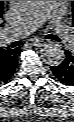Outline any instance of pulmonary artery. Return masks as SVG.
Wrapping results in <instances>:
<instances>
[{
	"mask_svg": "<svg viewBox=\"0 0 74 122\" xmlns=\"http://www.w3.org/2000/svg\"><path fill=\"white\" fill-rule=\"evenodd\" d=\"M58 1H38L30 12L23 15L16 23L10 26L6 32L7 40L22 38L36 30L46 20H54V32L64 45H71L73 38L70 32L59 23L55 10Z\"/></svg>",
	"mask_w": 74,
	"mask_h": 122,
	"instance_id": "pulmonary-artery-1",
	"label": "pulmonary artery"
}]
</instances>
